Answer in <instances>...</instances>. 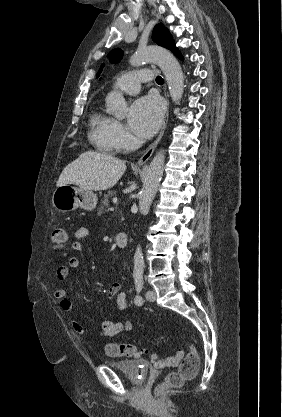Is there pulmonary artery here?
Segmentation results:
<instances>
[{
    "instance_id": "1",
    "label": "pulmonary artery",
    "mask_w": 282,
    "mask_h": 417,
    "mask_svg": "<svg viewBox=\"0 0 282 417\" xmlns=\"http://www.w3.org/2000/svg\"><path fill=\"white\" fill-rule=\"evenodd\" d=\"M152 81L153 76L148 70H130L129 73L119 76L112 87L128 94H136L140 90L141 83H151Z\"/></svg>"
}]
</instances>
